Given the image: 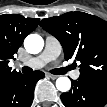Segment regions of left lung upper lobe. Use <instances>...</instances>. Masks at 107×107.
<instances>
[{
  "instance_id": "obj_1",
  "label": "left lung upper lobe",
  "mask_w": 107,
  "mask_h": 107,
  "mask_svg": "<svg viewBox=\"0 0 107 107\" xmlns=\"http://www.w3.org/2000/svg\"><path fill=\"white\" fill-rule=\"evenodd\" d=\"M63 46L65 59L81 62L83 80L107 86V22L84 12H68L40 22Z\"/></svg>"
}]
</instances>
